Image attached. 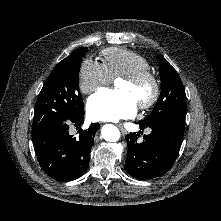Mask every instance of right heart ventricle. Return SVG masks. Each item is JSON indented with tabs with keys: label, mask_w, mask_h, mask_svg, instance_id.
I'll return each instance as SVG.
<instances>
[{
	"label": "right heart ventricle",
	"mask_w": 221,
	"mask_h": 221,
	"mask_svg": "<svg viewBox=\"0 0 221 221\" xmlns=\"http://www.w3.org/2000/svg\"><path fill=\"white\" fill-rule=\"evenodd\" d=\"M101 60L112 79L151 68L145 57L125 48L105 49L101 52Z\"/></svg>",
	"instance_id": "e07e8e85"
}]
</instances>
